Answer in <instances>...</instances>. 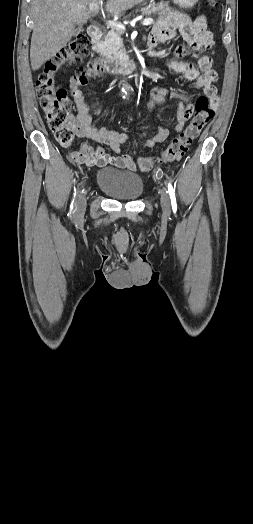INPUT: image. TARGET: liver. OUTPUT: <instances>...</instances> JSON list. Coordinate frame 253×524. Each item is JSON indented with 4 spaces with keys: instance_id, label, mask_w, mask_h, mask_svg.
<instances>
[{
    "instance_id": "6515ba94",
    "label": "liver",
    "mask_w": 253,
    "mask_h": 524,
    "mask_svg": "<svg viewBox=\"0 0 253 524\" xmlns=\"http://www.w3.org/2000/svg\"><path fill=\"white\" fill-rule=\"evenodd\" d=\"M102 0H32L31 14L34 28L30 46V60L33 70L64 48L75 35L76 25H82L89 18L88 5L100 4ZM144 0H107L108 13L119 16ZM97 12V11H96Z\"/></svg>"
}]
</instances>
